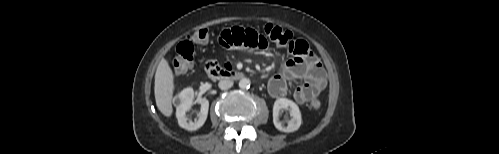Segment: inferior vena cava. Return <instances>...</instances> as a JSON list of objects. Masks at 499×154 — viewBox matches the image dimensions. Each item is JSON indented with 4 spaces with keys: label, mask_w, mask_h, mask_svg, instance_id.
<instances>
[{
    "label": "inferior vena cava",
    "mask_w": 499,
    "mask_h": 154,
    "mask_svg": "<svg viewBox=\"0 0 499 154\" xmlns=\"http://www.w3.org/2000/svg\"><path fill=\"white\" fill-rule=\"evenodd\" d=\"M218 86L222 90H227L233 86V81L230 79H223V80H220V82L218 83Z\"/></svg>",
    "instance_id": "inferior-vena-cava-1"
}]
</instances>
